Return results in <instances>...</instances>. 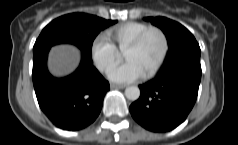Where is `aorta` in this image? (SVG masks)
<instances>
[{
	"mask_svg": "<svg viewBox=\"0 0 238 145\" xmlns=\"http://www.w3.org/2000/svg\"><path fill=\"white\" fill-rule=\"evenodd\" d=\"M125 96L131 101H135L140 96V89L137 86H128L125 89Z\"/></svg>",
	"mask_w": 238,
	"mask_h": 145,
	"instance_id": "obj_1",
	"label": "aorta"
}]
</instances>
